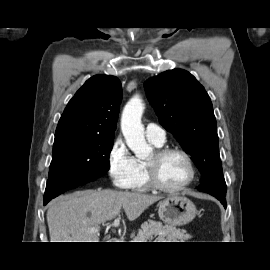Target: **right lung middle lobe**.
<instances>
[{
  "label": "right lung middle lobe",
  "mask_w": 270,
  "mask_h": 270,
  "mask_svg": "<svg viewBox=\"0 0 270 270\" xmlns=\"http://www.w3.org/2000/svg\"><path fill=\"white\" fill-rule=\"evenodd\" d=\"M114 137L55 135L45 195L56 197L103 176L110 168Z\"/></svg>",
  "instance_id": "obj_1"
}]
</instances>
